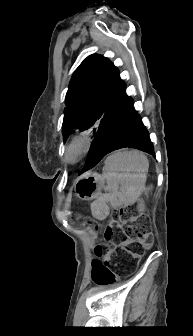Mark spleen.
<instances>
[{
  "label": "spleen",
  "mask_w": 193,
  "mask_h": 336,
  "mask_svg": "<svg viewBox=\"0 0 193 336\" xmlns=\"http://www.w3.org/2000/svg\"><path fill=\"white\" fill-rule=\"evenodd\" d=\"M149 161L138 150L116 151L105 160L103 178L106 180L105 194L100 195L92 204V215L104 220L113 208L134 204L145 189Z\"/></svg>",
  "instance_id": "1"
}]
</instances>
